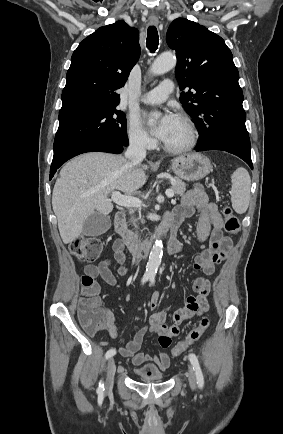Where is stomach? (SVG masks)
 Listing matches in <instances>:
<instances>
[{
    "label": "stomach",
    "instance_id": "obj_1",
    "mask_svg": "<svg viewBox=\"0 0 283 434\" xmlns=\"http://www.w3.org/2000/svg\"><path fill=\"white\" fill-rule=\"evenodd\" d=\"M211 169L210 160L200 153L182 155L172 161L173 172L187 181H198L208 175Z\"/></svg>",
    "mask_w": 283,
    "mask_h": 434
}]
</instances>
